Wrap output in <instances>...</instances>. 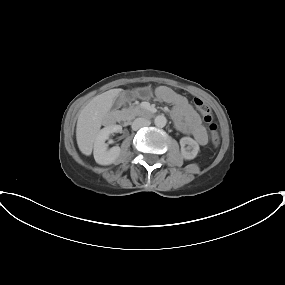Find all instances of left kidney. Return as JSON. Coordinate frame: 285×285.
<instances>
[{"instance_id":"1","label":"left kidney","mask_w":285,"mask_h":285,"mask_svg":"<svg viewBox=\"0 0 285 285\" xmlns=\"http://www.w3.org/2000/svg\"><path fill=\"white\" fill-rule=\"evenodd\" d=\"M181 155L186 160L194 159L199 152L198 143L191 137H182L180 139ZM187 145V147H185Z\"/></svg>"}]
</instances>
